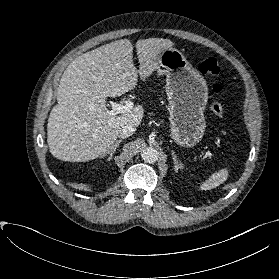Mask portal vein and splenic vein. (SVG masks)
<instances>
[{
    "instance_id": "1",
    "label": "portal vein and splenic vein",
    "mask_w": 279,
    "mask_h": 279,
    "mask_svg": "<svg viewBox=\"0 0 279 279\" xmlns=\"http://www.w3.org/2000/svg\"><path fill=\"white\" fill-rule=\"evenodd\" d=\"M109 103L112 107V110L108 111V114L110 116H115L120 113L124 114V113L130 112L134 106L133 102H131V101H127L124 105L113 102V101H110Z\"/></svg>"
}]
</instances>
